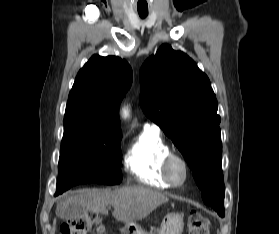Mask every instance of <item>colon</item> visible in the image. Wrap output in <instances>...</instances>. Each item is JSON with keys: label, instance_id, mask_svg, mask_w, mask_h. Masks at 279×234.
<instances>
[{"label": "colon", "instance_id": "colon-1", "mask_svg": "<svg viewBox=\"0 0 279 234\" xmlns=\"http://www.w3.org/2000/svg\"><path fill=\"white\" fill-rule=\"evenodd\" d=\"M93 227L101 233L100 216L95 211H86L81 216L69 220L62 227V234H87ZM188 234H209L208 220L201 213L192 211L188 217Z\"/></svg>", "mask_w": 279, "mask_h": 234}]
</instances>
